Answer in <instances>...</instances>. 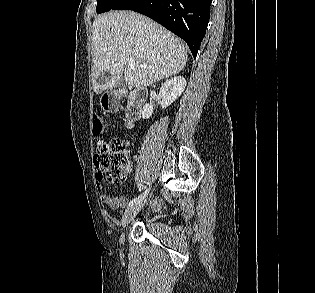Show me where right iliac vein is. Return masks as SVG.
Returning a JSON list of instances; mask_svg holds the SVG:
<instances>
[{"label":"right iliac vein","mask_w":315,"mask_h":293,"mask_svg":"<svg viewBox=\"0 0 315 293\" xmlns=\"http://www.w3.org/2000/svg\"><path fill=\"white\" fill-rule=\"evenodd\" d=\"M143 206H144V202H139L133 206L128 207L126 211L124 212L121 219V226H122L121 238L122 239H124L125 237L124 229L126 228V226H128L130 221L139 213V211L143 208Z\"/></svg>","instance_id":"right-iliac-vein-1"}]
</instances>
